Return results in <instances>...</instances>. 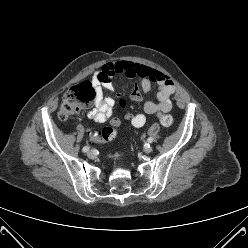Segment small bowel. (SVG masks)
Instances as JSON below:
<instances>
[{"mask_svg": "<svg viewBox=\"0 0 248 248\" xmlns=\"http://www.w3.org/2000/svg\"><path fill=\"white\" fill-rule=\"evenodd\" d=\"M118 75L137 79L134 90L130 95L133 101H142L143 93L149 94L152 91L153 84L158 86V102L145 101L143 107L144 113L134 115V120L131 122L134 127L139 128L144 126L146 123V115L158 116L161 113L171 110V97L176 90V84L168 74L134 62L112 61L102 65L93 76V85L97 90V97L94 107L90 109L87 114L93 121L103 123L111 116L114 100L111 97L103 96L102 87L114 91L113 78Z\"/></svg>", "mask_w": 248, "mask_h": 248, "instance_id": "1", "label": "small bowel"}]
</instances>
